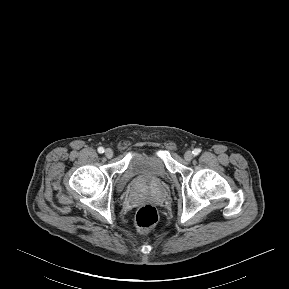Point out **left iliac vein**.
<instances>
[{
    "label": "left iliac vein",
    "mask_w": 289,
    "mask_h": 289,
    "mask_svg": "<svg viewBox=\"0 0 289 289\" xmlns=\"http://www.w3.org/2000/svg\"><path fill=\"white\" fill-rule=\"evenodd\" d=\"M194 155L191 151H186L184 154V158L187 161H191L193 159Z\"/></svg>",
    "instance_id": "4c4485c4"
}]
</instances>
